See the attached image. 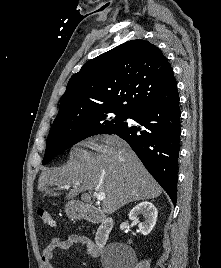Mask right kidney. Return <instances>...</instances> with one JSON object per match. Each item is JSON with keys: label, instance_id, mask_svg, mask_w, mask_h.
Segmentation results:
<instances>
[{"label": "right kidney", "instance_id": "obj_1", "mask_svg": "<svg viewBox=\"0 0 221 268\" xmlns=\"http://www.w3.org/2000/svg\"><path fill=\"white\" fill-rule=\"evenodd\" d=\"M141 213L145 217L144 222L138 220V215ZM157 214L156 207L152 203L145 201L139 203L130 211L129 219L138 223L141 234L148 235L156 224Z\"/></svg>", "mask_w": 221, "mask_h": 268}]
</instances>
